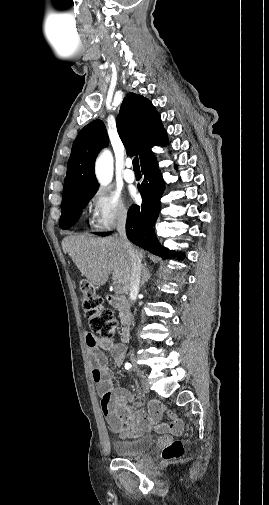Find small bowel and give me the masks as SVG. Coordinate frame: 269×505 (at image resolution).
Masks as SVG:
<instances>
[{
	"instance_id": "small-bowel-1",
	"label": "small bowel",
	"mask_w": 269,
	"mask_h": 505,
	"mask_svg": "<svg viewBox=\"0 0 269 505\" xmlns=\"http://www.w3.org/2000/svg\"><path fill=\"white\" fill-rule=\"evenodd\" d=\"M86 343L92 362V377L101 398V410L111 431L122 439H135L144 433L155 430L158 433L179 435L183 431V422L169 416L162 421L165 406L158 400H152L147 410L138 405L133 408L134 395L124 387L113 383V371L108 365L105 351L111 353L115 365L121 368L125 359V347L113 338L86 334Z\"/></svg>"
}]
</instances>
